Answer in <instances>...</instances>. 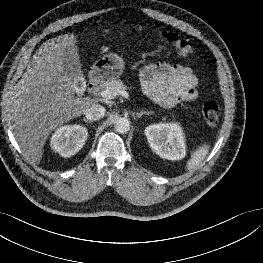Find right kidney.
<instances>
[{"label":"right kidney","instance_id":"ca27d5eb","mask_svg":"<svg viewBox=\"0 0 263 263\" xmlns=\"http://www.w3.org/2000/svg\"><path fill=\"white\" fill-rule=\"evenodd\" d=\"M88 131L80 125H66L58 128L51 137V148L62 157L78 153L87 140Z\"/></svg>","mask_w":263,"mask_h":263}]
</instances>
